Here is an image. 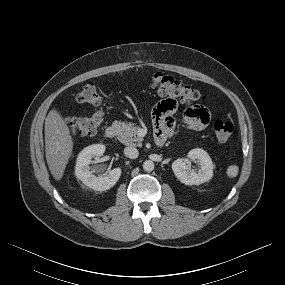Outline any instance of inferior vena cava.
Listing matches in <instances>:
<instances>
[{"mask_svg": "<svg viewBox=\"0 0 285 285\" xmlns=\"http://www.w3.org/2000/svg\"><path fill=\"white\" fill-rule=\"evenodd\" d=\"M124 154L126 157L130 159H136L139 155V152L135 147L128 146V147H125Z\"/></svg>", "mask_w": 285, "mask_h": 285, "instance_id": "obj_1", "label": "inferior vena cava"}]
</instances>
